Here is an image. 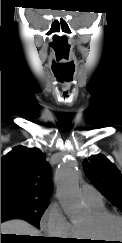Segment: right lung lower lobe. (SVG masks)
I'll return each mask as SVG.
<instances>
[{
    "instance_id": "98d812e1",
    "label": "right lung lower lobe",
    "mask_w": 122,
    "mask_h": 243,
    "mask_svg": "<svg viewBox=\"0 0 122 243\" xmlns=\"http://www.w3.org/2000/svg\"><path fill=\"white\" fill-rule=\"evenodd\" d=\"M14 218L26 220V221H28L29 223H31L32 225L35 226V224L32 222V220L29 217L25 216V215L1 213V223L6 221V220L14 219ZM40 241L43 242V243H52L51 239H49V238H43Z\"/></svg>"
}]
</instances>
